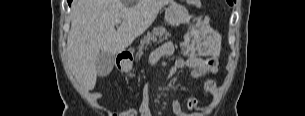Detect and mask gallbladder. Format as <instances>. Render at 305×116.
Here are the masks:
<instances>
[{"instance_id": "obj_1", "label": "gallbladder", "mask_w": 305, "mask_h": 116, "mask_svg": "<svg viewBox=\"0 0 305 116\" xmlns=\"http://www.w3.org/2000/svg\"><path fill=\"white\" fill-rule=\"evenodd\" d=\"M115 56L111 53L101 52L96 60L97 73L100 77L108 76L114 67Z\"/></svg>"}]
</instances>
